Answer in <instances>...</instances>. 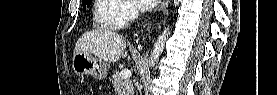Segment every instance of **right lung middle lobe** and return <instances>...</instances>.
<instances>
[{
	"label": "right lung middle lobe",
	"mask_w": 277,
	"mask_h": 95,
	"mask_svg": "<svg viewBox=\"0 0 277 95\" xmlns=\"http://www.w3.org/2000/svg\"><path fill=\"white\" fill-rule=\"evenodd\" d=\"M90 2H91V0H85V1H83V8L85 9V5L86 4L89 5Z\"/></svg>",
	"instance_id": "obj_1"
}]
</instances>
